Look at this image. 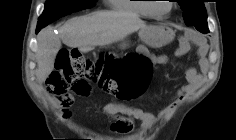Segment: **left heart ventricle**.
<instances>
[{"mask_svg": "<svg viewBox=\"0 0 236 140\" xmlns=\"http://www.w3.org/2000/svg\"><path fill=\"white\" fill-rule=\"evenodd\" d=\"M169 6H170V2H161V3H157V4L155 5L156 10H157L159 13H162V14L168 12Z\"/></svg>", "mask_w": 236, "mask_h": 140, "instance_id": "left-heart-ventricle-1", "label": "left heart ventricle"}]
</instances>
